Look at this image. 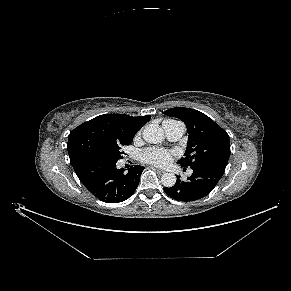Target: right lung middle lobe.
<instances>
[{"label": "right lung middle lobe", "mask_w": 291, "mask_h": 291, "mask_svg": "<svg viewBox=\"0 0 291 291\" xmlns=\"http://www.w3.org/2000/svg\"><path fill=\"white\" fill-rule=\"evenodd\" d=\"M131 142H122V143H115L110 146L104 148L94 149L90 155H98L107 157L109 159L118 161L122 158L121 147L125 145H129Z\"/></svg>", "instance_id": "obj_1"}]
</instances>
